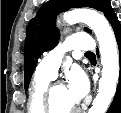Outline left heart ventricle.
<instances>
[{"instance_id":"b2bd125f","label":"left heart ventricle","mask_w":121,"mask_h":113,"mask_svg":"<svg viewBox=\"0 0 121 113\" xmlns=\"http://www.w3.org/2000/svg\"><path fill=\"white\" fill-rule=\"evenodd\" d=\"M53 112L67 113L76 108L77 102L65 86H57L52 92Z\"/></svg>"}]
</instances>
